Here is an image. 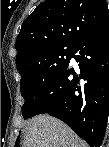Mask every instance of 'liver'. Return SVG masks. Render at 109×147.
Instances as JSON below:
<instances>
[{
  "instance_id": "6515ba94",
  "label": "liver",
  "mask_w": 109,
  "mask_h": 147,
  "mask_svg": "<svg viewBox=\"0 0 109 147\" xmlns=\"http://www.w3.org/2000/svg\"><path fill=\"white\" fill-rule=\"evenodd\" d=\"M24 141L26 147H85L73 131L60 120L41 115L33 118L27 124Z\"/></svg>"
}]
</instances>
